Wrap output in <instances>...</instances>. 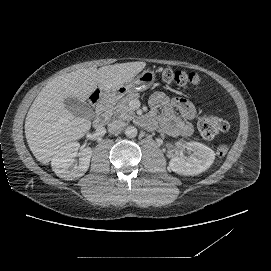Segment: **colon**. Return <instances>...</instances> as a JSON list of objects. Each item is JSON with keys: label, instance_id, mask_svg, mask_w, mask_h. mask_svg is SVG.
Wrapping results in <instances>:
<instances>
[{"label": "colon", "instance_id": "5ec220e1", "mask_svg": "<svg viewBox=\"0 0 271 271\" xmlns=\"http://www.w3.org/2000/svg\"><path fill=\"white\" fill-rule=\"evenodd\" d=\"M163 80L166 84L183 89L189 85L198 84L200 78L195 73L168 69L163 73ZM94 98H97V94L94 96ZM197 127L204 138L212 139L218 134L225 132L229 128V123L221 116L212 114L200 118L197 122ZM228 151L229 146L226 144H221L217 147L216 153L219 157H224Z\"/></svg>", "mask_w": 271, "mask_h": 271}]
</instances>
